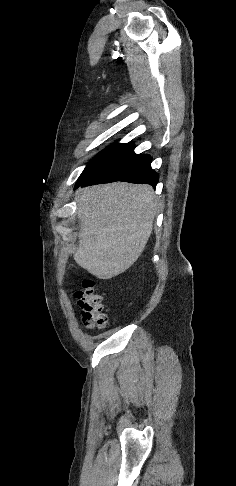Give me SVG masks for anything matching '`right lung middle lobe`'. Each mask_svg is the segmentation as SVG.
I'll return each mask as SVG.
<instances>
[{"label":"right lung middle lobe","mask_w":236,"mask_h":486,"mask_svg":"<svg viewBox=\"0 0 236 486\" xmlns=\"http://www.w3.org/2000/svg\"><path fill=\"white\" fill-rule=\"evenodd\" d=\"M126 144H113L109 146L107 149L100 152L84 169L82 174L80 175L77 183L79 184L81 181L87 178V176L95 170L98 166H100L104 161H106L109 157H111L114 153H116L119 149H121Z\"/></svg>","instance_id":"1"}]
</instances>
